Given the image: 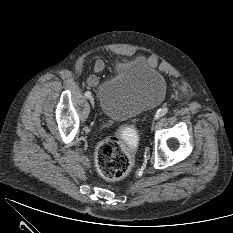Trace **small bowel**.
Segmentation results:
<instances>
[{
	"mask_svg": "<svg viewBox=\"0 0 233 233\" xmlns=\"http://www.w3.org/2000/svg\"><path fill=\"white\" fill-rule=\"evenodd\" d=\"M103 69H104V63H103V61L97 60L95 62V65H94L95 72L99 73V72L103 71ZM97 80H98V78H97L96 75H91V76H89L87 78V84L89 86H95L97 84Z\"/></svg>",
	"mask_w": 233,
	"mask_h": 233,
	"instance_id": "c3829d8e",
	"label": "small bowel"
}]
</instances>
